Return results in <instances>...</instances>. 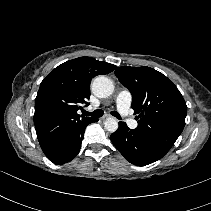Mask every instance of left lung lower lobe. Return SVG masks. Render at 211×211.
<instances>
[{
  "label": "left lung lower lobe",
  "instance_id": "1",
  "mask_svg": "<svg viewBox=\"0 0 211 211\" xmlns=\"http://www.w3.org/2000/svg\"><path fill=\"white\" fill-rule=\"evenodd\" d=\"M110 139L124 158L137 166L151 164L166 154L142 133L136 129H129L125 122H119V128Z\"/></svg>",
  "mask_w": 211,
  "mask_h": 211
}]
</instances>
